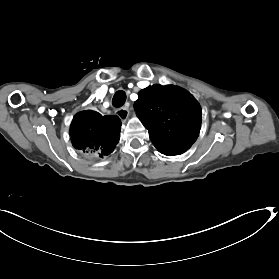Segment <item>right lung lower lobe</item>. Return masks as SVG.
<instances>
[{
	"mask_svg": "<svg viewBox=\"0 0 279 279\" xmlns=\"http://www.w3.org/2000/svg\"><path fill=\"white\" fill-rule=\"evenodd\" d=\"M121 121L117 116H102L86 110L73 118L70 136L75 149L87 157L98 158L113 152L120 138Z\"/></svg>",
	"mask_w": 279,
	"mask_h": 279,
	"instance_id": "obj_1",
	"label": "right lung lower lobe"
}]
</instances>
